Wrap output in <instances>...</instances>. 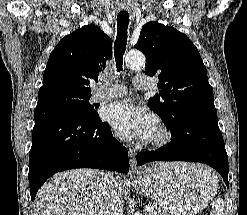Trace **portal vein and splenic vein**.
Listing matches in <instances>:
<instances>
[{
    "label": "portal vein and splenic vein",
    "instance_id": "1",
    "mask_svg": "<svg viewBox=\"0 0 247 215\" xmlns=\"http://www.w3.org/2000/svg\"><path fill=\"white\" fill-rule=\"evenodd\" d=\"M145 211L147 212L148 215H151L154 212V210L149 207H146Z\"/></svg>",
    "mask_w": 247,
    "mask_h": 215
}]
</instances>
